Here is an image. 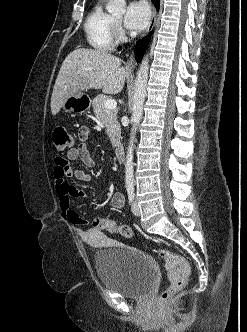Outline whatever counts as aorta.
I'll return each instance as SVG.
<instances>
[{
  "instance_id": "1",
  "label": "aorta",
  "mask_w": 247,
  "mask_h": 332,
  "mask_svg": "<svg viewBox=\"0 0 247 332\" xmlns=\"http://www.w3.org/2000/svg\"><path fill=\"white\" fill-rule=\"evenodd\" d=\"M126 1L125 0H112L107 6V11L114 16H122L125 13ZM149 71V58L146 55L137 72L135 80L134 96H133V108H132V129L130 134L129 146L127 149L126 163H125V185L126 188H134L133 178V150L134 141L137 132V128L141 122L143 115L144 102L146 97V87Z\"/></svg>"
}]
</instances>
